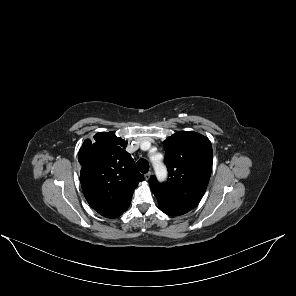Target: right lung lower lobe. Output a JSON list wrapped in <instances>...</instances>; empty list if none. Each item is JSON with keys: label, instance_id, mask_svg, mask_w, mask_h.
Returning <instances> with one entry per match:
<instances>
[{"label": "right lung lower lobe", "instance_id": "98d812e1", "mask_svg": "<svg viewBox=\"0 0 296 296\" xmlns=\"http://www.w3.org/2000/svg\"><path fill=\"white\" fill-rule=\"evenodd\" d=\"M129 205L127 206H119V207H110V208H102L99 210H96L100 215L106 217V218H117L123 212L127 210Z\"/></svg>", "mask_w": 296, "mask_h": 296}]
</instances>
